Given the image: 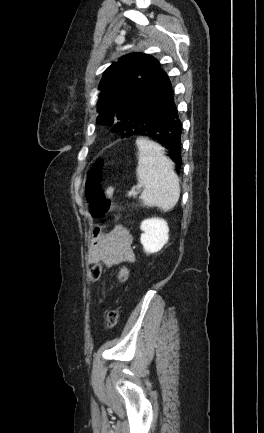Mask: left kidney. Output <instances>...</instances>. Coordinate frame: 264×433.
I'll use <instances>...</instances> for the list:
<instances>
[{
    "label": "left kidney",
    "mask_w": 264,
    "mask_h": 433,
    "mask_svg": "<svg viewBox=\"0 0 264 433\" xmlns=\"http://www.w3.org/2000/svg\"><path fill=\"white\" fill-rule=\"evenodd\" d=\"M140 229L143 231L140 237L141 244L147 254L160 251L169 239L167 222L162 218H149L143 220Z\"/></svg>",
    "instance_id": "obj_1"
}]
</instances>
